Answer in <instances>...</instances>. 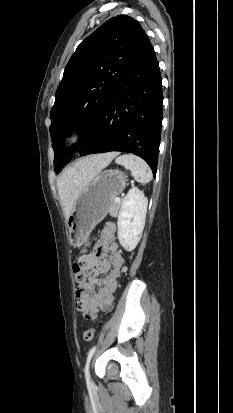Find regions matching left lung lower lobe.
Returning a JSON list of instances; mask_svg holds the SVG:
<instances>
[{
  "label": "left lung lower lobe",
  "mask_w": 233,
  "mask_h": 413,
  "mask_svg": "<svg viewBox=\"0 0 233 413\" xmlns=\"http://www.w3.org/2000/svg\"><path fill=\"white\" fill-rule=\"evenodd\" d=\"M162 82L148 36L131 59L79 150L80 156L109 151L143 158L156 175L162 124Z\"/></svg>",
  "instance_id": "left-lung-lower-lobe-1"
}]
</instances>
